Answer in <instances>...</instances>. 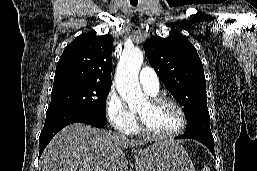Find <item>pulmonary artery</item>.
I'll use <instances>...</instances> for the list:
<instances>
[{
    "mask_svg": "<svg viewBox=\"0 0 257 171\" xmlns=\"http://www.w3.org/2000/svg\"><path fill=\"white\" fill-rule=\"evenodd\" d=\"M139 82L142 88L149 94H157L160 87L159 78L154 69L144 67L139 74Z\"/></svg>",
    "mask_w": 257,
    "mask_h": 171,
    "instance_id": "e3ab8cb5",
    "label": "pulmonary artery"
}]
</instances>
